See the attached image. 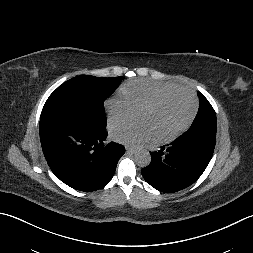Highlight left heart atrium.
Instances as JSON below:
<instances>
[{
	"instance_id": "39dd6f15",
	"label": "left heart atrium",
	"mask_w": 253,
	"mask_h": 253,
	"mask_svg": "<svg viewBox=\"0 0 253 253\" xmlns=\"http://www.w3.org/2000/svg\"><path fill=\"white\" fill-rule=\"evenodd\" d=\"M150 126L144 122L139 124H115L111 127V137L116 142L134 146L153 138Z\"/></svg>"
}]
</instances>
